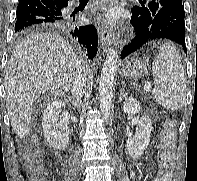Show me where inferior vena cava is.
Here are the masks:
<instances>
[{
  "instance_id": "obj_1",
  "label": "inferior vena cava",
  "mask_w": 197,
  "mask_h": 181,
  "mask_svg": "<svg viewBox=\"0 0 197 181\" xmlns=\"http://www.w3.org/2000/svg\"><path fill=\"white\" fill-rule=\"evenodd\" d=\"M86 81H87V75H86L85 67L82 66L72 82V97L76 106H78L81 103V98L84 94Z\"/></svg>"
}]
</instances>
